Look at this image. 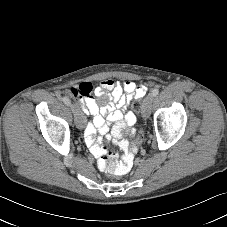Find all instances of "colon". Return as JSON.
<instances>
[{"mask_svg":"<svg viewBox=\"0 0 227 227\" xmlns=\"http://www.w3.org/2000/svg\"><path fill=\"white\" fill-rule=\"evenodd\" d=\"M133 109L138 113L141 109V103L139 100L133 103ZM144 132H137L136 142L133 143L132 148L127 147L124 154V162L119 163L114 156L109 153L102 154L98 159V165L103 167L104 170L114 175H122L130 170L133 164V153H138L140 145L143 144Z\"/></svg>","mask_w":227,"mask_h":227,"instance_id":"colon-1","label":"colon"}]
</instances>
